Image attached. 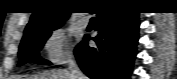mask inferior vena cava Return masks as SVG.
<instances>
[{"mask_svg": "<svg viewBox=\"0 0 177 79\" xmlns=\"http://www.w3.org/2000/svg\"><path fill=\"white\" fill-rule=\"evenodd\" d=\"M68 71L70 73L71 79H85V76L79 69L72 56H70L68 59Z\"/></svg>", "mask_w": 177, "mask_h": 79, "instance_id": "1", "label": "inferior vena cava"}]
</instances>
